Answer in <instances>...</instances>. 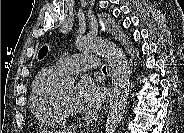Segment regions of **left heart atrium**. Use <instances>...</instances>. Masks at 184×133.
Wrapping results in <instances>:
<instances>
[{
    "label": "left heart atrium",
    "instance_id": "1",
    "mask_svg": "<svg viewBox=\"0 0 184 133\" xmlns=\"http://www.w3.org/2000/svg\"><path fill=\"white\" fill-rule=\"evenodd\" d=\"M102 100L101 87L90 79L81 80L74 90V104L80 112H95L100 107Z\"/></svg>",
    "mask_w": 184,
    "mask_h": 133
}]
</instances>
